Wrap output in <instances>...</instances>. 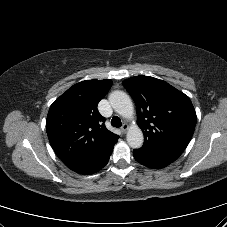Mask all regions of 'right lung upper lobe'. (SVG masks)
Returning <instances> with one entry per match:
<instances>
[{
  "label": "right lung upper lobe",
  "instance_id": "right-lung-upper-lobe-1",
  "mask_svg": "<svg viewBox=\"0 0 227 227\" xmlns=\"http://www.w3.org/2000/svg\"><path fill=\"white\" fill-rule=\"evenodd\" d=\"M112 83L108 79L79 82L51 105L46 131L64 164L81 161L119 138L106 129L105 118L97 110Z\"/></svg>",
  "mask_w": 227,
  "mask_h": 227
}]
</instances>
